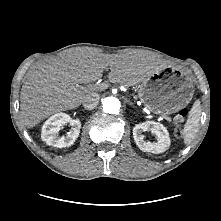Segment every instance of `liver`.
Masks as SVG:
<instances>
[{
  "mask_svg": "<svg viewBox=\"0 0 221 221\" xmlns=\"http://www.w3.org/2000/svg\"><path fill=\"white\" fill-rule=\"evenodd\" d=\"M108 67L109 81L124 86L136 85L159 70L154 59L145 54L69 50L27 73L20 93L22 122L33 128L52 114L78 107L88 95L100 90L81 85L100 80Z\"/></svg>",
  "mask_w": 221,
  "mask_h": 221,
  "instance_id": "obj_1",
  "label": "liver"
}]
</instances>
